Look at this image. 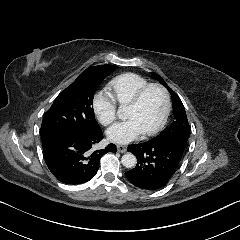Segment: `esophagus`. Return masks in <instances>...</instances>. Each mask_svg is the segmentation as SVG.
<instances>
[{
  "mask_svg": "<svg viewBox=\"0 0 240 240\" xmlns=\"http://www.w3.org/2000/svg\"><path fill=\"white\" fill-rule=\"evenodd\" d=\"M116 148L118 152L125 153L127 150V145L118 144Z\"/></svg>",
  "mask_w": 240,
  "mask_h": 240,
  "instance_id": "1",
  "label": "esophagus"
}]
</instances>
